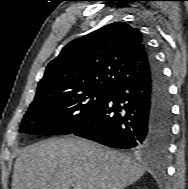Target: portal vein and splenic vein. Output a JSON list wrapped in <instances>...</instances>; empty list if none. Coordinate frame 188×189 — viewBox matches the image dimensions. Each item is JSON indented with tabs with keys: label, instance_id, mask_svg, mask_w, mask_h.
I'll return each instance as SVG.
<instances>
[{
	"label": "portal vein and splenic vein",
	"instance_id": "18ae733b",
	"mask_svg": "<svg viewBox=\"0 0 188 189\" xmlns=\"http://www.w3.org/2000/svg\"><path fill=\"white\" fill-rule=\"evenodd\" d=\"M73 189H81V187L78 183H75L73 184Z\"/></svg>",
	"mask_w": 188,
	"mask_h": 189
}]
</instances>
